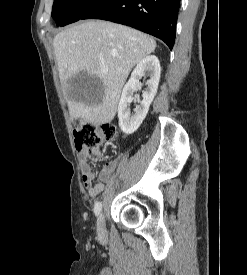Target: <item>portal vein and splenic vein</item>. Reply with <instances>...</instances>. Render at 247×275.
<instances>
[{
	"label": "portal vein and splenic vein",
	"instance_id": "portal-vein-and-splenic-vein-1",
	"mask_svg": "<svg viewBox=\"0 0 247 275\" xmlns=\"http://www.w3.org/2000/svg\"><path fill=\"white\" fill-rule=\"evenodd\" d=\"M101 71L106 72V71H107L106 67H105V66H102V67H101Z\"/></svg>",
	"mask_w": 247,
	"mask_h": 275
}]
</instances>
